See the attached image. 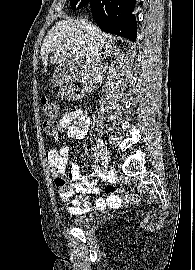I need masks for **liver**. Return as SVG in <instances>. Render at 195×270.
<instances>
[{"label":"liver","mask_w":195,"mask_h":270,"mask_svg":"<svg viewBox=\"0 0 195 270\" xmlns=\"http://www.w3.org/2000/svg\"><path fill=\"white\" fill-rule=\"evenodd\" d=\"M88 25L91 26L102 48L104 47L106 50L115 47L110 41H107L105 33L83 19L59 21L47 33L41 47L40 56L43 62V73L47 72L50 64L64 63L69 50H77L80 61L88 56L91 46ZM50 53L54 55L50 57L49 62L48 56Z\"/></svg>","instance_id":"obj_1"}]
</instances>
